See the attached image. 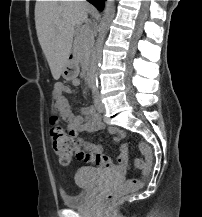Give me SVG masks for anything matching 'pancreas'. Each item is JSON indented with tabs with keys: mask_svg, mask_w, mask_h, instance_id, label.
I'll use <instances>...</instances> for the list:
<instances>
[{
	"mask_svg": "<svg viewBox=\"0 0 202 217\" xmlns=\"http://www.w3.org/2000/svg\"><path fill=\"white\" fill-rule=\"evenodd\" d=\"M93 46V32L89 26H83L76 32L73 48L79 59H87Z\"/></svg>",
	"mask_w": 202,
	"mask_h": 217,
	"instance_id": "pancreas-1",
	"label": "pancreas"
}]
</instances>
